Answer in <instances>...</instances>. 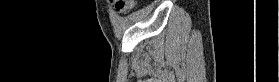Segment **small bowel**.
Returning <instances> with one entry per match:
<instances>
[{
    "label": "small bowel",
    "instance_id": "c3829d8e",
    "mask_svg": "<svg viewBox=\"0 0 279 82\" xmlns=\"http://www.w3.org/2000/svg\"><path fill=\"white\" fill-rule=\"evenodd\" d=\"M114 7H115V10L119 13H126L132 8V7H127L123 4H116Z\"/></svg>",
    "mask_w": 279,
    "mask_h": 82
}]
</instances>
